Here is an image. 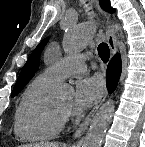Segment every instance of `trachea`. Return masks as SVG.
<instances>
[{
  "label": "trachea",
  "instance_id": "obj_1",
  "mask_svg": "<svg viewBox=\"0 0 145 147\" xmlns=\"http://www.w3.org/2000/svg\"><path fill=\"white\" fill-rule=\"evenodd\" d=\"M98 54L101 60L106 63L110 57V50L106 43H101L98 46Z\"/></svg>",
  "mask_w": 145,
  "mask_h": 147
}]
</instances>
